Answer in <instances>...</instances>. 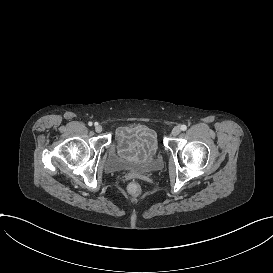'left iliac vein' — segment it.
I'll use <instances>...</instances> for the list:
<instances>
[{
  "instance_id": "obj_1",
  "label": "left iliac vein",
  "mask_w": 273,
  "mask_h": 273,
  "mask_svg": "<svg viewBox=\"0 0 273 273\" xmlns=\"http://www.w3.org/2000/svg\"><path fill=\"white\" fill-rule=\"evenodd\" d=\"M180 132H181L180 127L176 126V127H174L173 130H172V135H173V136H177L178 134H180Z\"/></svg>"
}]
</instances>
